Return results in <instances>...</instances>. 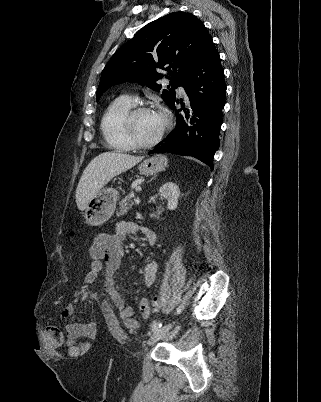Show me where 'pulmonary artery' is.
<instances>
[{
    "label": "pulmonary artery",
    "mask_w": 321,
    "mask_h": 402,
    "mask_svg": "<svg viewBox=\"0 0 321 402\" xmlns=\"http://www.w3.org/2000/svg\"><path fill=\"white\" fill-rule=\"evenodd\" d=\"M178 92L181 93V94H183V93L185 92V90H184V88H183L182 86H180V87L178 88ZM122 97L125 98L126 100L132 102V103H135V102L137 101V99H136L135 97L130 96V95H124V96H122Z\"/></svg>",
    "instance_id": "e3ab8cb5"
}]
</instances>
